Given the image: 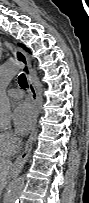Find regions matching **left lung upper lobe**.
Masks as SVG:
<instances>
[{
	"mask_svg": "<svg viewBox=\"0 0 89 203\" xmlns=\"http://www.w3.org/2000/svg\"><path fill=\"white\" fill-rule=\"evenodd\" d=\"M21 47H23L25 50L29 51L24 45L20 44Z\"/></svg>",
	"mask_w": 89,
	"mask_h": 203,
	"instance_id": "obj_1",
	"label": "left lung upper lobe"
}]
</instances>
